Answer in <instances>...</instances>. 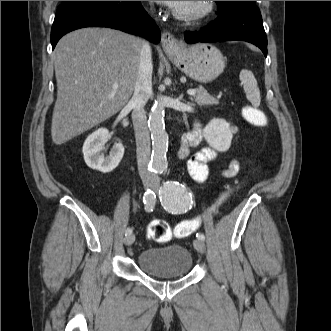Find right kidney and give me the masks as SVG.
<instances>
[{
	"mask_svg": "<svg viewBox=\"0 0 331 331\" xmlns=\"http://www.w3.org/2000/svg\"><path fill=\"white\" fill-rule=\"evenodd\" d=\"M110 138L111 133L106 128H99L87 137L82 152L88 167L102 173H109L119 165L124 155L122 143H116L108 156L102 153Z\"/></svg>",
	"mask_w": 331,
	"mask_h": 331,
	"instance_id": "right-kidney-1",
	"label": "right kidney"
}]
</instances>
